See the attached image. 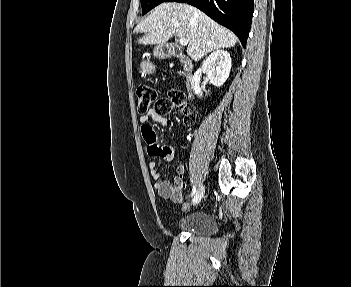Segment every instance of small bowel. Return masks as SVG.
Masks as SVG:
<instances>
[{"label": "small bowel", "mask_w": 351, "mask_h": 287, "mask_svg": "<svg viewBox=\"0 0 351 287\" xmlns=\"http://www.w3.org/2000/svg\"><path fill=\"white\" fill-rule=\"evenodd\" d=\"M150 120H153L163 127H167L169 122L166 118L157 114L155 110H149L139 117L142 138L144 145H146L145 151L147 152V156L153 157L148 166L150 175L155 181V189L161 197L169 198L173 202L180 203L183 201V191L186 188L184 179L186 172L185 165L179 164L176 166L173 183L162 179L161 173L158 170L157 159L161 158L165 161H171L174 157V151L169 146H161L158 139V132H156V127H154V122H149Z\"/></svg>", "instance_id": "1"}]
</instances>
